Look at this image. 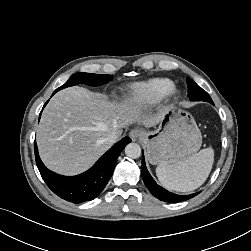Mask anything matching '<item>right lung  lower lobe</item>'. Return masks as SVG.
Instances as JSON below:
<instances>
[{
  "label": "right lung lower lobe",
  "mask_w": 251,
  "mask_h": 251,
  "mask_svg": "<svg viewBox=\"0 0 251 251\" xmlns=\"http://www.w3.org/2000/svg\"><path fill=\"white\" fill-rule=\"evenodd\" d=\"M57 91L59 90L56 89L53 94ZM130 142L129 137H124L109 149L93 167L77 176H62L48 170L39 157L36 142H34L35 160L42 178L56 195L69 202L82 203L95 199L101 193L113 174L118 156Z\"/></svg>",
  "instance_id": "1"
}]
</instances>
